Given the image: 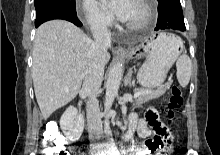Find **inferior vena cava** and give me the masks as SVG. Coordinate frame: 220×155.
<instances>
[{
  "label": "inferior vena cava",
  "instance_id": "602c4592",
  "mask_svg": "<svg viewBox=\"0 0 220 155\" xmlns=\"http://www.w3.org/2000/svg\"><path fill=\"white\" fill-rule=\"evenodd\" d=\"M90 27L95 41L89 49L81 92L88 97L86 102L87 125L90 136L94 137L103 132L97 96L103 80L107 48L111 46V35L105 20L100 16L91 17Z\"/></svg>",
  "mask_w": 220,
  "mask_h": 155
}]
</instances>
